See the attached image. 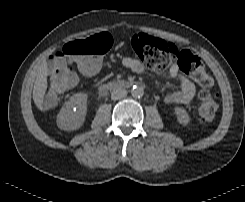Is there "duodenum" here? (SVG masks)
Instances as JSON below:
<instances>
[{
	"label": "duodenum",
	"instance_id": "duodenum-1",
	"mask_svg": "<svg viewBox=\"0 0 245 202\" xmlns=\"http://www.w3.org/2000/svg\"><path fill=\"white\" fill-rule=\"evenodd\" d=\"M137 85L135 81H118V82H110L105 85L102 89H110V90H128Z\"/></svg>",
	"mask_w": 245,
	"mask_h": 202
}]
</instances>
